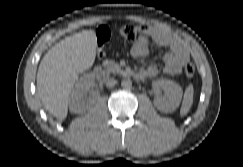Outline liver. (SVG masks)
<instances>
[{"mask_svg":"<svg viewBox=\"0 0 243 167\" xmlns=\"http://www.w3.org/2000/svg\"><path fill=\"white\" fill-rule=\"evenodd\" d=\"M96 48L95 32L84 30L57 43L42 58L37 91L45 109L58 120L67 117L73 85L79 74L93 65Z\"/></svg>","mask_w":243,"mask_h":167,"instance_id":"obj_1","label":"liver"}]
</instances>
